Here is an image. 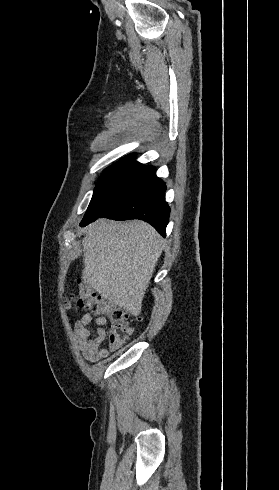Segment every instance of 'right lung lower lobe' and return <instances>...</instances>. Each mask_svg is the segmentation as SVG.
<instances>
[{
	"label": "right lung lower lobe",
	"mask_w": 279,
	"mask_h": 490,
	"mask_svg": "<svg viewBox=\"0 0 279 490\" xmlns=\"http://www.w3.org/2000/svg\"><path fill=\"white\" fill-rule=\"evenodd\" d=\"M165 191V183L157 176L145 183L126 187L108 199L99 217L113 220L141 219L165 236L170 214ZM95 220L81 223L80 226L84 227Z\"/></svg>",
	"instance_id": "right-lung-lower-lobe-1"
}]
</instances>
